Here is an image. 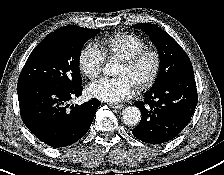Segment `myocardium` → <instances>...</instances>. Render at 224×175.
I'll return each mask as SVG.
<instances>
[{
  "label": "myocardium",
  "mask_w": 224,
  "mask_h": 175,
  "mask_svg": "<svg viewBox=\"0 0 224 175\" xmlns=\"http://www.w3.org/2000/svg\"><path fill=\"white\" fill-rule=\"evenodd\" d=\"M147 58L152 60V69L147 78L136 84L139 90L148 89L156 82L162 66V58L160 53L154 49L144 48L133 56L123 60V63L128 68L133 70Z\"/></svg>",
  "instance_id": "obj_1"
}]
</instances>
